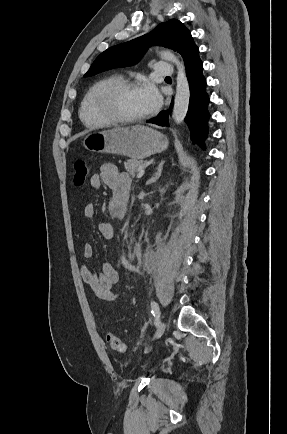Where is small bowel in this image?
<instances>
[{
	"mask_svg": "<svg viewBox=\"0 0 287 434\" xmlns=\"http://www.w3.org/2000/svg\"><path fill=\"white\" fill-rule=\"evenodd\" d=\"M89 184L92 188H100L102 185L110 189L111 195L108 201V212L111 217L117 220H124L129 203V190L131 177L128 173L122 172L111 163H104L100 166L98 173L91 176ZM97 215V206L88 203L84 206V217L93 219ZM98 231L102 237L108 240L115 238V227L109 222H99ZM94 256V247L91 243L83 245V257L88 260ZM80 274L83 282L87 284L95 296L102 301H114L117 294L113 287L118 281L116 269L108 262H103L97 272L87 265H82Z\"/></svg>",
	"mask_w": 287,
	"mask_h": 434,
	"instance_id": "small-bowel-1",
	"label": "small bowel"
}]
</instances>
